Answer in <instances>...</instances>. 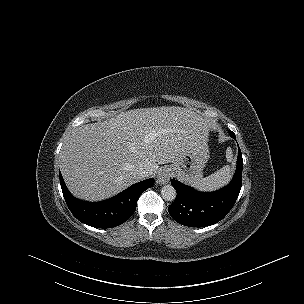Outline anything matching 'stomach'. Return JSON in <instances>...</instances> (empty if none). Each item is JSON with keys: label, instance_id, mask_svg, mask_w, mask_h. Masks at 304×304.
Segmentation results:
<instances>
[{"label": "stomach", "instance_id": "obj_1", "mask_svg": "<svg viewBox=\"0 0 304 304\" xmlns=\"http://www.w3.org/2000/svg\"><path fill=\"white\" fill-rule=\"evenodd\" d=\"M208 158L206 147L194 148L186 152L179 161L172 162L169 167L180 181L195 186L202 178Z\"/></svg>", "mask_w": 304, "mask_h": 304}]
</instances>
